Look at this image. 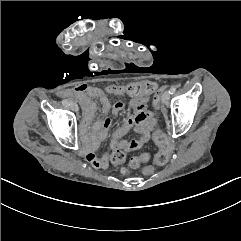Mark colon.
<instances>
[{"instance_id":"obj_1","label":"colon","mask_w":241,"mask_h":241,"mask_svg":"<svg viewBox=\"0 0 241 241\" xmlns=\"http://www.w3.org/2000/svg\"><path fill=\"white\" fill-rule=\"evenodd\" d=\"M166 86L161 85L157 88L153 95V104L154 106H159L160 104V95L162 92L166 91ZM153 87L150 82L144 81L141 82L140 84H130L128 86L127 92L128 95L132 98L138 99L141 98L143 95L147 96L152 93ZM154 140L155 142L160 146L159 149V154L156 155L153 159V162L156 165H161L166 162V160L169 157L168 154V149H169V142H168V137L165 134H162L160 130L156 131L154 134ZM151 156L148 153H143L137 158H134L130 161V165L135 167L138 166L140 163L147 162L150 160ZM110 159L113 163L117 165H122L124 160H125V154L124 153H111L110 154ZM154 167L151 164L146 165L145 169L143 170V175L144 176H149L151 172H153Z\"/></svg>"}]
</instances>
